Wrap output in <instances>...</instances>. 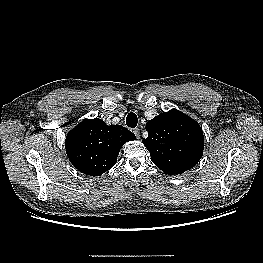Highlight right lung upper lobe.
<instances>
[{"instance_id":"right-lung-upper-lobe-1","label":"right lung upper lobe","mask_w":263,"mask_h":263,"mask_svg":"<svg viewBox=\"0 0 263 263\" xmlns=\"http://www.w3.org/2000/svg\"><path fill=\"white\" fill-rule=\"evenodd\" d=\"M107 131L108 129L106 132ZM90 132L91 128L89 131L87 129V131L84 132V134L86 133V139H84L85 141L82 148L83 155L81 157L85 159L84 162L82 161V169L85 173L98 174L109 166L116 151L120 148V141L123 140L124 134L122 135L120 130L108 132L105 133V135L101 133V136L97 134L95 136L93 130L91 135Z\"/></svg>"}]
</instances>
